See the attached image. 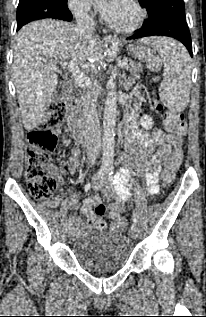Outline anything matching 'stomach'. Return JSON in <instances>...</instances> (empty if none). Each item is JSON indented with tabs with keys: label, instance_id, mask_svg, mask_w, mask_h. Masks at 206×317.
Here are the masks:
<instances>
[{
	"label": "stomach",
	"instance_id": "stomach-1",
	"mask_svg": "<svg viewBox=\"0 0 206 317\" xmlns=\"http://www.w3.org/2000/svg\"><path fill=\"white\" fill-rule=\"evenodd\" d=\"M128 48L133 53L134 57L141 61L148 60L152 57V53L147 47L129 45Z\"/></svg>",
	"mask_w": 206,
	"mask_h": 317
}]
</instances>
